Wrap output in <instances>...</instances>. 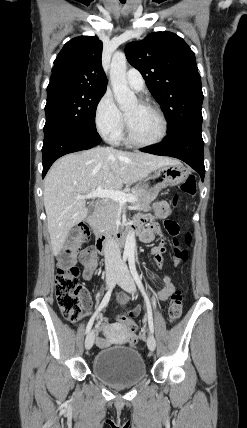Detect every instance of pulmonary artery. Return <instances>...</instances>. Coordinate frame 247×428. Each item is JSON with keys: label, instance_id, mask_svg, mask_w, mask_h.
Wrapping results in <instances>:
<instances>
[{"label": "pulmonary artery", "instance_id": "e3ab8cb5", "mask_svg": "<svg viewBox=\"0 0 247 428\" xmlns=\"http://www.w3.org/2000/svg\"><path fill=\"white\" fill-rule=\"evenodd\" d=\"M128 86L135 91H142L145 87L144 79L141 73L136 69H130L126 75Z\"/></svg>", "mask_w": 247, "mask_h": 428}]
</instances>
